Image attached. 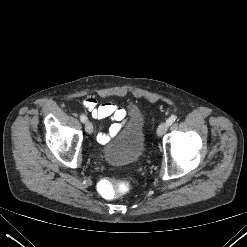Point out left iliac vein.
Returning a JSON list of instances; mask_svg holds the SVG:
<instances>
[{"mask_svg":"<svg viewBox=\"0 0 247 247\" xmlns=\"http://www.w3.org/2000/svg\"><path fill=\"white\" fill-rule=\"evenodd\" d=\"M169 125L167 124V122H163L161 123L159 126H158V129H157V135L159 137H161L162 135L165 134V132L167 131Z\"/></svg>","mask_w":247,"mask_h":247,"instance_id":"left-iliac-vein-1","label":"left iliac vein"}]
</instances>
